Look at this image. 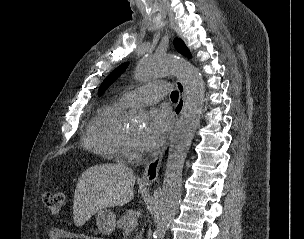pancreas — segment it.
Here are the masks:
<instances>
[{
  "instance_id": "pancreas-1",
  "label": "pancreas",
  "mask_w": 304,
  "mask_h": 239,
  "mask_svg": "<svg viewBox=\"0 0 304 239\" xmlns=\"http://www.w3.org/2000/svg\"><path fill=\"white\" fill-rule=\"evenodd\" d=\"M133 220H136V212L133 210H127L124 215H122L118 222H117V226L123 229L128 228L129 223ZM141 235L137 236L140 237Z\"/></svg>"
}]
</instances>
